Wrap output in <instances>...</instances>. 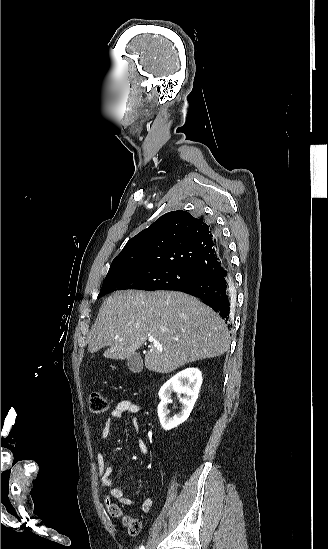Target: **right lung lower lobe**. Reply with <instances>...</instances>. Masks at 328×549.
I'll use <instances>...</instances> for the list:
<instances>
[{
    "label": "right lung lower lobe",
    "instance_id": "98d812e1",
    "mask_svg": "<svg viewBox=\"0 0 328 549\" xmlns=\"http://www.w3.org/2000/svg\"><path fill=\"white\" fill-rule=\"evenodd\" d=\"M220 243V249L225 253L226 249L222 244L220 237L217 235ZM223 270L215 274L208 275L202 279L186 284L174 290L189 293L197 296L217 312L227 323L230 318L231 296L230 288L232 287V277L228 269L227 258L225 257Z\"/></svg>",
    "mask_w": 328,
    "mask_h": 549
}]
</instances>
